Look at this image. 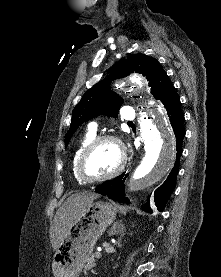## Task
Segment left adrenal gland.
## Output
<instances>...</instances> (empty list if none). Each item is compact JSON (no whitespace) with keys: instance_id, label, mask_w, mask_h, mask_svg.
<instances>
[{"instance_id":"a2214340","label":"left adrenal gland","mask_w":221,"mask_h":277,"mask_svg":"<svg viewBox=\"0 0 221 277\" xmlns=\"http://www.w3.org/2000/svg\"><path fill=\"white\" fill-rule=\"evenodd\" d=\"M126 231L124 224L122 222H116L113 224V226L109 230V235H115V234H124Z\"/></svg>"}]
</instances>
